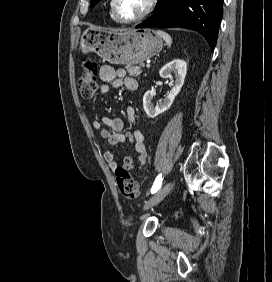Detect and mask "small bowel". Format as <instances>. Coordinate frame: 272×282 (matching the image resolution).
Instances as JSON below:
<instances>
[{
    "label": "small bowel",
    "mask_w": 272,
    "mask_h": 282,
    "mask_svg": "<svg viewBox=\"0 0 272 282\" xmlns=\"http://www.w3.org/2000/svg\"><path fill=\"white\" fill-rule=\"evenodd\" d=\"M100 79V91L102 93L108 92L109 86L120 85H124L125 88L131 92H136L138 90V82L135 79L130 78L124 69H115L112 66L104 65L100 69ZM126 119L128 121H133L135 119L134 108H127ZM102 124L108 126L111 131L102 128ZM124 125L125 121L119 117L113 118L105 116L102 117L101 121L93 122V127L100 131L101 137L107 141L108 145H117L125 142L126 139H129L137 153V159L133 160L130 156L124 157L122 167L127 170L134 167L141 169L147 159V148L144 134L138 129L124 133ZM104 158L112 170L117 169L118 165L112 151H105Z\"/></svg>",
    "instance_id": "small-bowel-1"
}]
</instances>
